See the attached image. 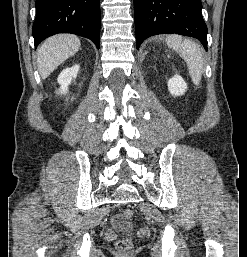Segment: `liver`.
Masks as SVG:
<instances>
[{
	"instance_id": "liver-1",
	"label": "liver",
	"mask_w": 247,
	"mask_h": 257,
	"mask_svg": "<svg viewBox=\"0 0 247 257\" xmlns=\"http://www.w3.org/2000/svg\"><path fill=\"white\" fill-rule=\"evenodd\" d=\"M80 45L79 38L71 34H60L46 39L37 52L41 78L46 79L61 63L74 55Z\"/></svg>"
}]
</instances>
